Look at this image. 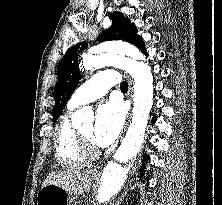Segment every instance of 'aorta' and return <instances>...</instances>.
<instances>
[{"label":"aorta","mask_w":222,"mask_h":205,"mask_svg":"<svg viewBox=\"0 0 222 205\" xmlns=\"http://www.w3.org/2000/svg\"><path fill=\"white\" fill-rule=\"evenodd\" d=\"M99 51V54L83 56L84 68L89 70L118 66L125 69L134 77L135 97L132 123L113 159L104 167L96 188V198L99 204H103L121 190L142 154L155 91L150 68L137 48L125 43H106ZM93 120L94 114L90 107H84L72 115L75 127Z\"/></svg>","instance_id":"aorta-1"}]
</instances>
